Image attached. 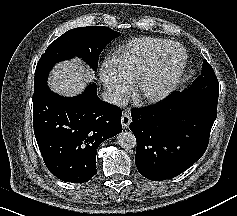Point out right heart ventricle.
Segmentation results:
<instances>
[{"instance_id": "1", "label": "right heart ventricle", "mask_w": 237, "mask_h": 216, "mask_svg": "<svg viewBox=\"0 0 237 216\" xmlns=\"http://www.w3.org/2000/svg\"><path fill=\"white\" fill-rule=\"evenodd\" d=\"M164 42L162 38H130L127 44L108 56L109 67L118 75L137 74L152 61L154 57L152 46L157 48Z\"/></svg>"}]
</instances>
